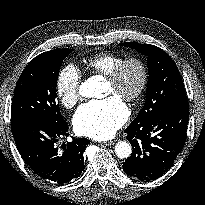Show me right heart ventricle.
I'll return each instance as SVG.
<instances>
[{"label": "right heart ventricle", "mask_w": 205, "mask_h": 205, "mask_svg": "<svg viewBox=\"0 0 205 205\" xmlns=\"http://www.w3.org/2000/svg\"><path fill=\"white\" fill-rule=\"evenodd\" d=\"M123 59V56L114 53H97L89 57L85 65L90 72L107 76Z\"/></svg>", "instance_id": "1"}]
</instances>
